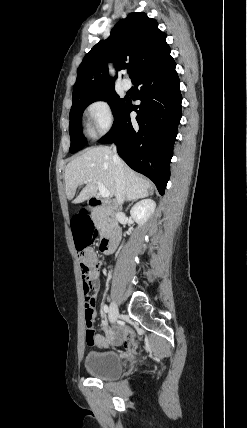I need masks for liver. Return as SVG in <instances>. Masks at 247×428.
<instances>
[{"label": "liver", "mask_w": 247, "mask_h": 428, "mask_svg": "<svg viewBox=\"0 0 247 428\" xmlns=\"http://www.w3.org/2000/svg\"><path fill=\"white\" fill-rule=\"evenodd\" d=\"M113 152L105 146L87 149L82 155L68 163L65 169V189L69 200L74 198L76 189L86 184L72 202L82 203L98 195L97 181L103 183L110 196L116 195L115 168ZM124 171L125 197L127 201L147 197L152 192L150 182L137 175L122 162Z\"/></svg>", "instance_id": "6515ba94"}]
</instances>
